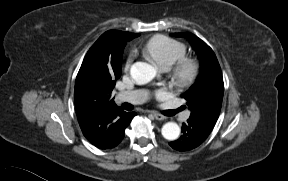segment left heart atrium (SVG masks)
I'll use <instances>...</instances> for the list:
<instances>
[{"mask_svg":"<svg viewBox=\"0 0 288 181\" xmlns=\"http://www.w3.org/2000/svg\"><path fill=\"white\" fill-rule=\"evenodd\" d=\"M156 96L159 98H163L165 96V92L163 90H159L156 92Z\"/></svg>","mask_w":288,"mask_h":181,"instance_id":"39dd6f15","label":"left heart atrium"}]
</instances>
